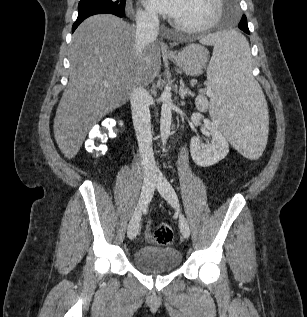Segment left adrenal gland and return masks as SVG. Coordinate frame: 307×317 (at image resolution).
Listing matches in <instances>:
<instances>
[{"instance_id": "obj_1", "label": "left adrenal gland", "mask_w": 307, "mask_h": 317, "mask_svg": "<svg viewBox=\"0 0 307 317\" xmlns=\"http://www.w3.org/2000/svg\"><path fill=\"white\" fill-rule=\"evenodd\" d=\"M179 95H180L182 100H184L185 97H187V96H191V97L194 96L192 91L185 87V84L182 80L180 81Z\"/></svg>"}]
</instances>
